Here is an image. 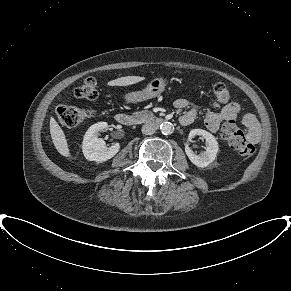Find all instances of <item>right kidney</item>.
Listing matches in <instances>:
<instances>
[{
    "label": "right kidney",
    "instance_id": "right-kidney-1",
    "mask_svg": "<svg viewBox=\"0 0 291 291\" xmlns=\"http://www.w3.org/2000/svg\"><path fill=\"white\" fill-rule=\"evenodd\" d=\"M107 129L108 124L106 122H98L92 125L85 133L82 151L87 160L101 163L111 159L119 151L120 145L118 143L107 149L105 141L102 138H98L99 132Z\"/></svg>",
    "mask_w": 291,
    "mask_h": 291
}]
</instances>
